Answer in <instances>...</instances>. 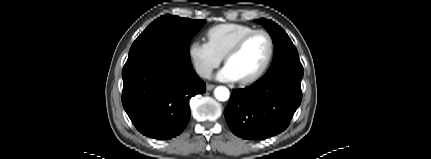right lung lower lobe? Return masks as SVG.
I'll use <instances>...</instances> for the list:
<instances>
[{
    "mask_svg": "<svg viewBox=\"0 0 431 159\" xmlns=\"http://www.w3.org/2000/svg\"><path fill=\"white\" fill-rule=\"evenodd\" d=\"M122 78L126 113L140 133L157 140L182 133L190 98L206 91L190 61L160 48L128 57Z\"/></svg>",
    "mask_w": 431,
    "mask_h": 159,
    "instance_id": "1",
    "label": "right lung lower lobe"
}]
</instances>
